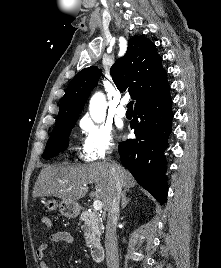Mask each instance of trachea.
<instances>
[{
  "label": "trachea",
  "mask_w": 221,
  "mask_h": 268,
  "mask_svg": "<svg viewBox=\"0 0 221 268\" xmlns=\"http://www.w3.org/2000/svg\"><path fill=\"white\" fill-rule=\"evenodd\" d=\"M133 104H134V101H130V102L128 103V105H127V108H128L129 110H132V109H133Z\"/></svg>",
  "instance_id": "3493384b"
}]
</instances>
